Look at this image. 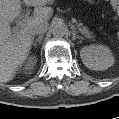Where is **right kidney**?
Wrapping results in <instances>:
<instances>
[{
  "label": "right kidney",
  "instance_id": "obj_1",
  "mask_svg": "<svg viewBox=\"0 0 119 119\" xmlns=\"http://www.w3.org/2000/svg\"><path fill=\"white\" fill-rule=\"evenodd\" d=\"M33 63H34V59L33 58H30L28 60L27 65H26L27 69H30L32 67Z\"/></svg>",
  "mask_w": 119,
  "mask_h": 119
}]
</instances>
